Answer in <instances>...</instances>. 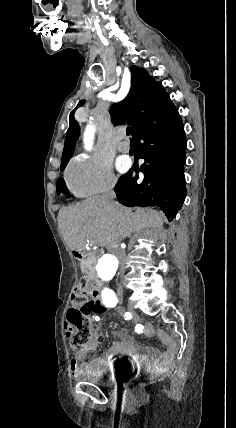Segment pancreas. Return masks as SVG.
Here are the masks:
<instances>
[{
    "label": "pancreas",
    "instance_id": "pancreas-1",
    "mask_svg": "<svg viewBox=\"0 0 236 428\" xmlns=\"http://www.w3.org/2000/svg\"><path fill=\"white\" fill-rule=\"evenodd\" d=\"M92 264V266H91ZM93 264H96V258H87V260H85V262H81V272H86V274H88L89 278H94V280H96V278H98V276H96V270H95V266H93Z\"/></svg>",
    "mask_w": 236,
    "mask_h": 428
}]
</instances>
